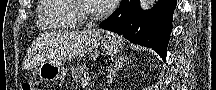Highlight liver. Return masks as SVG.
I'll list each match as a JSON object with an SVG mask.
<instances>
[{"instance_id":"liver-1","label":"liver","mask_w":216,"mask_h":90,"mask_svg":"<svg viewBox=\"0 0 216 90\" xmlns=\"http://www.w3.org/2000/svg\"><path fill=\"white\" fill-rule=\"evenodd\" d=\"M101 38L97 30H84V32H66L65 46L68 50V58H77L87 54L96 48Z\"/></svg>"}]
</instances>
